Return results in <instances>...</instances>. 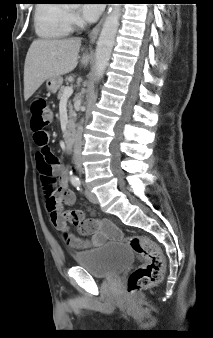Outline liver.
Listing matches in <instances>:
<instances>
[{
	"instance_id": "6515ba94",
	"label": "liver",
	"mask_w": 213,
	"mask_h": 338,
	"mask_svg": "<svg viewBox=\"0 0 213 338\" xmlns=\"http://www.w3.org/2000/svg\"><path fill=\"white\" fill-rule=\"evenodd\" d=\"M80 47V38L33 41L24 65V99L27 101L47 79L74 70ZM88 63L89 56L83 55L81 65Z\"/></svg>"
}]
</instances>
